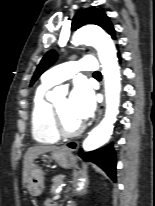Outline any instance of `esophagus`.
Masks as SVG:
<instances>
[{
	"label": "esophagus",
	"instance_id": "esophagus-1",
	"mask_svg": "<svg viewBox=\"0 0 155 206\" xmlns=\"http://www.w3.org/2000/svg\"><path fill=\"white\" fill-rule=\"evenodd\" d=\"M103 108H104V102L101 103L100 105V108H99V111H98V116H97V122L100 120L101 116H102V113H103ZM78 142L77 141H70V142H67L65 145H64V149L68 150V151H75L78 149Z\"/></svg>",
	"mask_w": 155,
	"mask_h": 206
}]
</instances>
